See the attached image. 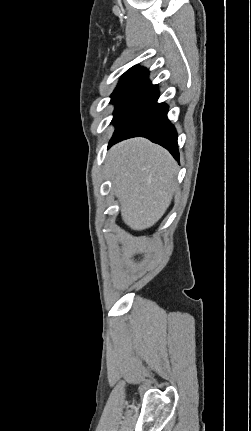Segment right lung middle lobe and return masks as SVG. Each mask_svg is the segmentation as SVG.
<instances>
[{
	"instance_id": "dd1d6c3e",
	"label": "right lung middle lobe",
	"mask_w": 251,
	"mask_h": 431,
	"mask_svg": "<svg viewBox=\"0 0 251 431\" xmlns=\"http://www.w3.org/2000/svg\"><path fill=\"white\" fill-rule=\"evenodd\" d=\"M145 71L146 69L132 68L120 79L119 84L111 95V102L116 105L114 118L139 84Z\"/></svg>"
}]
</instances>
